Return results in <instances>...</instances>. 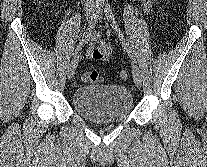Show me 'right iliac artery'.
<instances>
[{"mask_svg":"<svg viewBox=\"0 0 207 167\" xmlns=\"http://www.w3.org/2000/svg\"><path fill=\"white\" fill-rule=\"evenodd\" d=\"M101 6H102V2L101 0H97L94 10H93V15L91 16L89 25L87 27V29L85 30L82 39L80 40L79 44L77 45L73 56L76 57V55L79 53V51L82 49V47L85 45V43H87L89 37L91 36V33L95 27V24L97 22L99 13L101 11Z\"/></svg>","mask_w":207,"mask_h":167,"instance_id":"obj_1","label":"right iliac artery"}]
</instances>
